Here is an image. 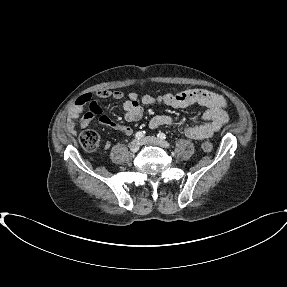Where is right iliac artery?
<instances>
[{"label":"right iliac artery","mask_w":287,"mask_h":287,"mask_svg":"<svg viewBox=\"0 0 287 287\" xmlns=\"http://www.w3.org/2000/svg\"><path fill=\"white\" fill-rule=\"evenodd\" d=\"M145 136V131H139L135 134V138L140 140Z\"/></svg>","instance_id":"obj_1"}]
</instances>
